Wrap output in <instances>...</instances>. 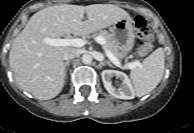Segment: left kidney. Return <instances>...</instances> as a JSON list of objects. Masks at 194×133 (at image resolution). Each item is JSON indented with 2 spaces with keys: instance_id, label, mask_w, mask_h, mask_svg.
<instances>
[{
  "instance_id": "1",
  "label": "left kidney",
  "mask_w": 194,
  "mask_h": 133,
  "mask_svg": "<svg viewBox=\"0 0 194 133\" xmlns=\"http://www.w3.org/2000/svg\"><path fill=\"white\" fill-rule=\"evenodd\" d=\"M102 81L104 83L105 89L114 97L119 99H133L135 96L134 89L130 83L128 76L120 71L116 70H104L101 73ZM116 76L121 80V84L118 88L112 85V77Z\"/></svg>"
}]
</instances>
